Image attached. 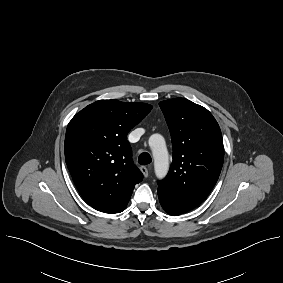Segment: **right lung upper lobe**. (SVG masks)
Returning <instances> with one entry per match:
<instances>
[{
	"label": "right lung upper lobe",
	"instance_id": "cb5924a9",
	"mask_svg": "<svg viewBox=\"0 0 283 283\" xmlns=\"http://www.w3.org/2000/svg\"><path fill=\"white\" fill-rule=\"evenodd\" d=\"M153 107L99 100L78 112L65 136V160L83 199L105 213L122 212L143 175L132 161L128 132Z\"/></svg>",
	"mask_w": 283,
	"mask_h": 283
}]
</instances>
